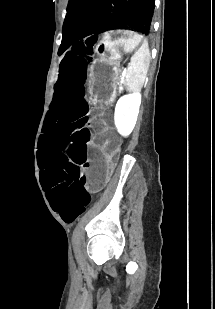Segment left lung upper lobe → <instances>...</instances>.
<instances>
[{"instance_id":"left-lung-upper-lobe-1","label":"left lung upper lobe","mask_w":215,"mask_h":309,"mask_svg":"<svg viewBox=\"0 0 215 309\" xmlns=\"http://www.w3.org/2000/svg\"><path fill=\"white\" fill-rule=\"evenodd\" d=\"M154 0H69L59 53L93 34L130 28L149 34Z\"/></svg>"}]
</instances>
